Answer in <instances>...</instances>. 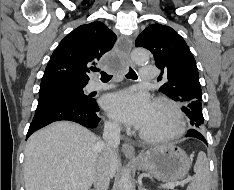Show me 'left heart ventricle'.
<instances>
[{
	"instance_id": "b2bd125f",
	"label": "left heart ventricle",
	"mask_w": 234,
	"mask_h": 190,
	"mask_svg": "<svg viewBox=\"0 0 234 190\" xmlns=\"http://www.w3.org/2000/svg\"><path fill=\"white\" fill-rule=\"evenodd\" d=\"M174 126L173 116L166 109L153 105L150 117L141 130L147 133H162L172 130Z\"/></svg>"
}]
</instances>
